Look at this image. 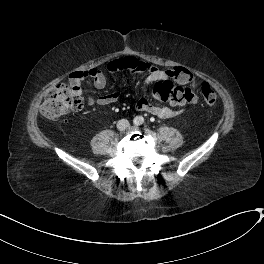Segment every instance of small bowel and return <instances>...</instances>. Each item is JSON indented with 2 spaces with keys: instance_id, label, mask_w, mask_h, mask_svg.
<instances>
[{
  "instance_id": "c3829d8e",
  "label": "small bowel",
  "mask_w": 264,
  "mask_h": 264,
  "mask_svg": "<svg viewBox=\"0 0 264 264\" xmlns=\"http://www.w3.org/2000/svg\"><path fill=\"white\" fill-rule=\"evenodd\" d=\"M107 68L110 72H126V71L140 72L142 70H147L149 74L144 80L145 86L155 82L165 81L170 79L167 70H161L150 63L140 62L133 57H125V58L113 60L110 63H108ZM92 70L95 69L86 70L82 72H75V73H79L81 80L92 82L96 88L98 89L104 88L106 85L105 76L99 73L97 70H95L96 71L95 74H90V71ZM120 98H121V93L119 91H114L108 94L101 95L96 100L88 99V102L89 103L96 102L98 105L108 106L118 102ZM195 101L196 99L194 98L192 102ZM135 108L138 111H144L159 118H170L177 114V111L171 107L158 106L152 104L150 100L145 96L137 100Z\"/></svg>"
}]
</instances>
